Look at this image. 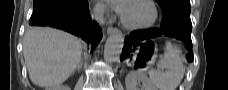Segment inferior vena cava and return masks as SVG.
<instances>
[{"instance_id": "602c4592", "label": "inferior vena cava", "mask_w": 228, "mask_h": 90, "mask_svg": "<svg viewBox=\"0 0 228 90\" xmlns=\"http://www.w3.org/2000/svg\"><path fill=\"white\" fill-rule=\"evenodd\" d=\"M92 18L96 20L98 23H104V11L101 7L96 6L92 12Z\"/></svg>"}]
</instances>
